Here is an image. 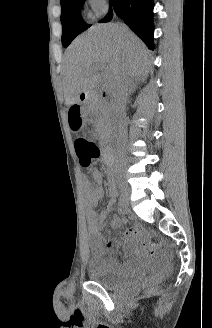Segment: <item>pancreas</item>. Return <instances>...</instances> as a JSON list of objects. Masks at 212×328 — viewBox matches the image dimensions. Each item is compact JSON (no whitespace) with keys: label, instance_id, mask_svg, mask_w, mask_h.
I'll list each match as a JSON object with an SVG mask.
<instances>
[{"label":"pancreas","instance_id":"cf45deb5","mask_svg":"<svg viewBox=\"0 0 212 328\" xmlns=\"http://www.w3.org/2000/svg\"><path fill=\"white\" fill-rule=\"evenodd\" d=\"M93 114L96 116V132L99 139H107L112 133L111 119L108 113V105L101 100L92 104Z\"/></svg>","mask_w":212,"mask_h":328}]
</instances>
